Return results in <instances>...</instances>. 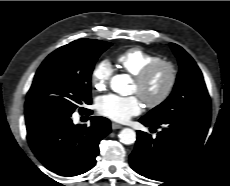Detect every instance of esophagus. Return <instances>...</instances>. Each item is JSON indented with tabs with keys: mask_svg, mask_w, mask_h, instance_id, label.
<instances>
[{
	"mask_svg": "<svg viewBox=\"0 0 230 186\" xmlns=\"http://www.w3.org/2000/svg\"><path fill=\"white\" fill-rule=\"evenodd\" d=\"M111 127H112L113 130H116V129H121L122 125H120L118 123H112Z\"/></svg>",
	"mask_w": 230,
	"mask_h": 186,
	"instance_id": "obj_1",
	"label": "esophagus"
}]
</instances>
